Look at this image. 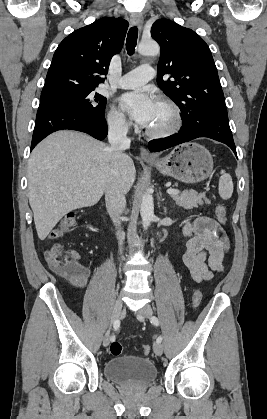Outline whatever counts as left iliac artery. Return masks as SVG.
<instances>
[{
  "instance_id": "obj_1",
  "label": "left iliac artery",
  "mask_w": 267,
  "mask_h": 419,
  "mask_svg": "<svg viewBox=\"0 0 267 419\" xmlns=\"http://www.w3.org/2000/svg\"><path fill=\"white\" fill-rule=\"evenodd\" d=\"M150 322H151L153 325H155V326H158V325H159V320H158V318H157L156 316H152V317H150ZM156 341H157L158 343H161V341H162V337H161V336H159V337L156 339Z\"/></svg>"
}]
</instances>
